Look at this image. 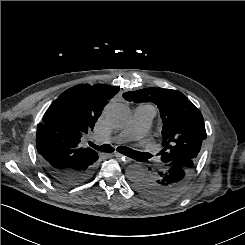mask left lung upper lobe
Here are the masks:
<instances>
[{
  "mask_svg": "<svg viewBox=\"0 0 245 245\" xmlns=\"http://www.w3.org/2000/svg\"><path fill=\"white\" fill-rule=\"evenodd\" d=\"M135 103L153 102L161 113L163 149L161 161L169 163L180 158L197 160L206 139L201 112L179 91L163 88H144L123 94Z\"/></svg>",
  "mask_w": 245,
  "mask_h": 245,
  "instance_id": "left-lung-upper-lobe-1",
  "label": "left lung upper lobe"
}]
</instances>
